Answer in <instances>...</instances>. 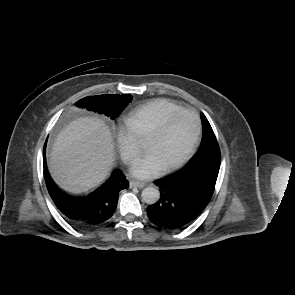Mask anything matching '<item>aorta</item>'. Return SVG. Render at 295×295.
Wrapping results in <instances>:
<instances>
[{
	"instance_id": "aorta-1",
	"label": "aorta",
	"mask_w": 295,
	"mask_h": 295,
	"mask_svg": "<svg viewBox=\"0 0 295 295\" xmlns=\"http://www.w3.org/2000/svg\"><path fill=\"white\" fill-rule=\"evenodd\" d=\"M141 196H142V200L146 204L151 205V204L156 203L159 200L160 192L157 188L146 187L143 189Z\"/></svg>"
}]
</instances>
